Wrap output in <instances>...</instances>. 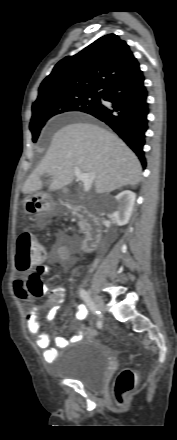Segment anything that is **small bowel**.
Segmentation results:
<instances>
[{
	"mask_svg": "<svg viewBox=\"0 0 177 440\" xmlns=\"http://www.w3.org/2000/svg\"><path fill=\"white\" fill-rule=\"evenodd\" d=\"M58 258L61 262H69L71 260V253L66 247H60L58 249ZM29 287V284H27ZM16 295L20 299L27 297V291L21 287L16 286ZM64 297V290L61 287H55L50 292L47 303L44 306L37 307L29 311L26 315V324L30 333L36 336V344L39 348L44 350V358L47 362H54L59 355V349L68 346L70 343L77 342L82 338L81 334H77L67 339L64 337L55 338V348L50 347V337L47 333L41 331V326L38 321L41 311L46 307L48 308L46 318L51 320L54 318L57 307L60 305ZM87 315V309L84 305H79L76 308L75 319L83 320Z\"/></svg>",
	"mask_w": 177,
	"mask_h": 440,
	"instance_id": "1",
	"label": "small bowel"
}]
</instances>
